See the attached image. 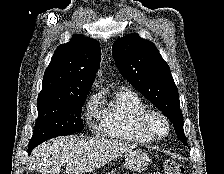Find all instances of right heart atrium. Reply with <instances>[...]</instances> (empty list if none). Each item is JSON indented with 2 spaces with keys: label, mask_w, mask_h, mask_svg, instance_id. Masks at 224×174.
<instances>
[{
  "label": "right heart atrium",
  "mask_w": 224,
  "mask_h": 174,
  "mask_svg": "<svg viewBox=\"0 0 224 174\" xmlns=\"http://www.w3.org/2000/svg\"><path fill=\"white\" fill-rule=\"evenodd\" d=\"M100 100L99 94H93L87 101L85 107V117L89 124H91L93 118L98 115L97 105Z\"/></svg>",
  "instance_id": "right-heart-atrium-1"
}]
</instances>
